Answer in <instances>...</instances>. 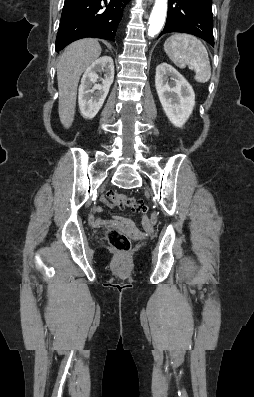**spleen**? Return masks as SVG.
Listing matches in <instances>:
<instances>
[{
	"mask_svg": "<svg viewBox=\"0 0 254 397\" xmlns=\"http://www.w3.org/2000/svg\"><path fill=\"white\" fill-rule=\"evenodd\" d=\"M164 50L175 65L185 68L186 65L195 71L194 79L206 83L211 77V66L206 47L192 35L176 33L164 43Z\"/></svg>",
	"mask_w": 254,
	"mask_h": 397,
	"instance_id": "spleen-1",
	"label": "spleen"
}]
</instances>
